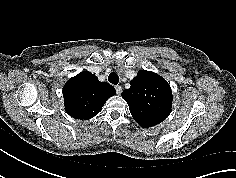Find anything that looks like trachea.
Returning a JSON list of instances; mask_svg holds the SVG:
<instances>
[{"label": "trachea", "instance_id": "obj_1", "mask_svg": "<svg viewBox=\"0 0 236 178\" xmlns=\"http://www.w3.org/2000/svg\"><path fill=\"white\" fill-rule=\"evenodd\" d=\"M108 81L111 84L117 85L119 83V77L116 73H110L108 76Z\"/></svg>", "mask_w": 236, "mask_h": 178}]
</instances>
